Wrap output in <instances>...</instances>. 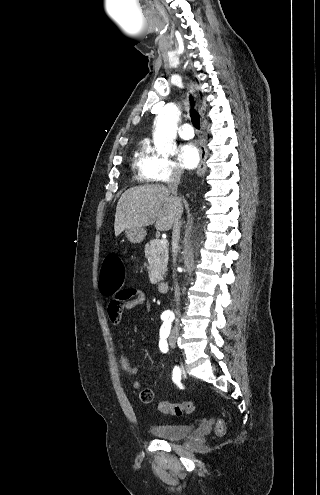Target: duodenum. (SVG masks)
I'll return each mask as SVG.
<instances>
[{"label":"duodenum","instance_id":"1","mask_svg":"<svg viewBox=\"0 0 320 495\" xmlns=\"http://www.w3.org/2000/svg\"><path fill=\"white\" fill-rule=\"evenodd\" d=\"M168 288H169V284L167 281H160L158 283V289L160 292L165 293L167 292Z\"/></svg>","mask_w":320,"mask_h":495}]
</instances>
